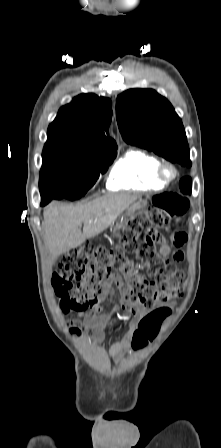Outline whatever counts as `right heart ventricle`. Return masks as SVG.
I'll return each mask as SVG.
<instances>
[{
  "mask_svg": "<svg viewBox=\"0 0 221 448\" xmlns=\"http://www.w3.org/2000/svg\"><path fill=\"white\" fill-rule=\"evenodd\" d=\"M160 160L145 150L127 151L112 167L107 187L110 190H160L166 187L156 176Z\"/></svg>",
  "mask_w": 221,
  "mask_h": 448,
  "instance_id": "right-heart-ventricle-1",
  "label": "right heart ventricle"
}]
</instances>
